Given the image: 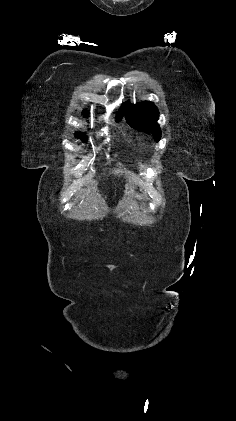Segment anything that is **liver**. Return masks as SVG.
Wrapping results in <instances>:
<instances>
[{"mask_svg":"<svg viewBox=\"0 0 236 421\" xmlns=\"http://www.w3.org/2000/svg\"><path fill=\"white\" fill-rule=\"evenodd\" d=\"M118 172H122V170H120V168H117V170H114V174H118Z\"/></svg>","mask_w":236,"mask_h":421,"instance_id":"6515ba94","label":"liver"}]
</instances>
